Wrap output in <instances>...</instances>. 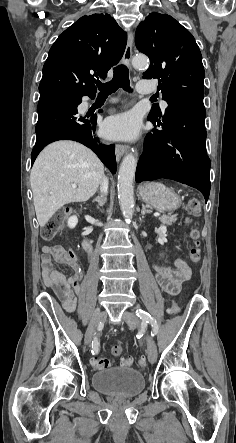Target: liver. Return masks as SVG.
Here are the masks:
<instances>
[{
    "label": "liver",
    "mask_w": 236,
    "mask_h": 443,
    "mask_svg": "<svg viewBox=\"0 0 236 443\" xmlns=\"http://www.w3.org/2000/svg\"><path fill=\"white\" fill-rule=\"evenodd\" d=\"M103 174L101 161L82 144L58 141L44 148L30 174L40 227H44L64 205L90 199L96 193ZM73 184L78 187L72 188Z\"/></svg>",
    "instance_id": "liver-1"
}]
</instances>
